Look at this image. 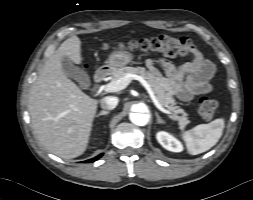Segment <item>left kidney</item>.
<instances>
[{
    "label": "left kidney",
    "mask_w": 253,
    "mask_h": 200,
    "mask_svg": "<svg viewBox=\"0 0 253 200\" xmlns=\"http://www.w3.org/2000/svg\"><path fill=\"white\" fill-rule=\"evenodd\" d=\"M156 138L157 141L162 145V147L171 152L183 151V145L181 144V142L165 131L158 132L156 134Z\"/></svg>",
    "instance_id": "5707ae66"
}]
</instances>
